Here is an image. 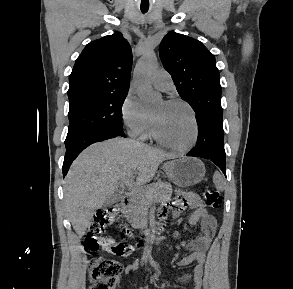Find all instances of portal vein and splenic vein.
<instances>
[{
  "instance_id": "obj_1",
  "label": "portal vein and splenic vein",
  "mask_w": 293,
  "mask_h": 289,
  "mask_svg": "<svg viewBox=\"0 0 293 289\" xmlns=\"http://www.w3.org/2000/svg\"><path fill=\"white\" fill-rule=\"evenodd\" d=\"M123 184H125L133 194H137V193H141V192H144L146 189L144 188H140L138 186H135L131 183V180L128 179L126 180Z\"/></svg>"
}]
</instances>
